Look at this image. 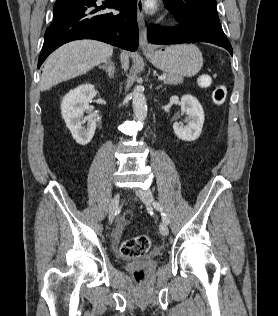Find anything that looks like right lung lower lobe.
<instances>
[{
	"instance_id": "1",
	"label": "right lung lower lobe",
	"mask_w": 278,
	"mask_h": 316,
	"mask_svg": "<svg viewBox=\"0 0 278 316\" xmlns=\"http://www.w3.org/2000/svg\"><path fill=\"white\" fill-rule=\"evenodd\" d=\"M57 0L54 20L45 32L38 68L59 46L73 40L95 39L135 51L138 47L137 0ZM114 8L119 14L109 13Z\"/></svg>"
}]
</instances>
